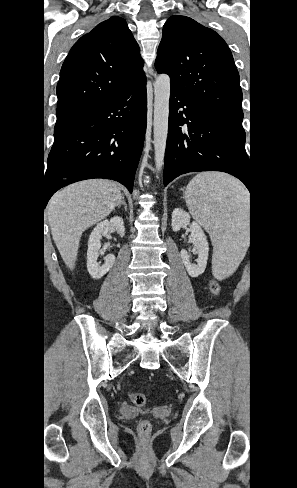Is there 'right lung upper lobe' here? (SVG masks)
Masks as SVG:
<instances>
[{
    "mask_svg": "<svg viewBox=\"0 0 297 488\" xmlns=\"http://www.w3.org/2000/svg\"><path fill=\"white\" fill-rule=\"evenodd\" d=\"M139 46L123 18L113 16L82 36L57 84L59 127L145 78Z\"/></svg>",
    "mask_w": 297,
    "mask_h": 488,
    "instance_id": "cb5924a9",
    "label": "right lung upper lobe"
}]
</instances>
